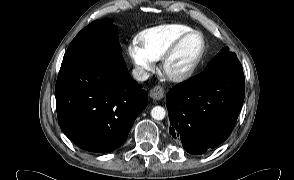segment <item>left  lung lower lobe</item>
Listing matches in <instances>:
<instances>
[{"mask_svg":"<svg viewBox=\"0 0 294 180\" xmlns=\"http://www.w3.org/2000/svg\"><path fill=\"white\" fill-rule=\"evenodd\" d=\"M244 93L242 69H225L176 85L166 95L171 137L190 154L220 145L232 132Z\"/></svg>","mask_w":294,"mask_h":180,"instance_id":"obj_1","label":"left lung lower lobe"}]
</instances>
